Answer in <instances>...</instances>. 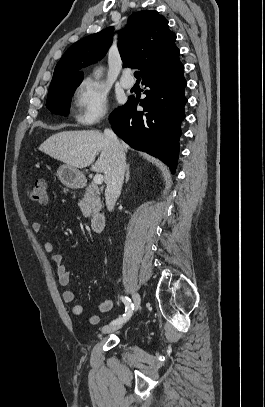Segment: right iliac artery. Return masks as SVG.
<instances>
[{
  "instance_id": "right-iliac-artery-1",
  "label": "right iliac artery",
  "mask_w": 265,
  "mask_h": 407,
  "mask_svg": "<svg viewBox=\"0 0 265 407\" xmlns=\"http://www.w3.org/2000/svg\"><path fill=\"white\" fill-rule=\"evenodd\" d=\"M121 300L125 305V314H123L122 317L113 320L112 324H121L123 322H126L130 318L132 311L134 310V304L131 302V299H129L128 297H121Z\"/></svg>"
}]
</instances>
